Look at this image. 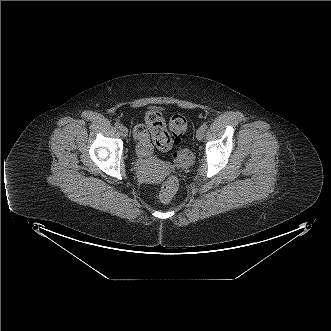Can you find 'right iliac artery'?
<instances>
[{
	"label": "right iliac artery",
	"mask_w": 331,
	"mask_h": 331,
	"mask_svg": "<svg viewBox=\"0 0 331 331\" xmlns=\"http://www.w3.org/2000/svg\"><path fill=\"white\" fill-rule=\"evenodd\" d=\"M115 126H116L117 128H120L121 124H120L119 122H116V123H115Z\"/></svg>",
	"instance_id": "obj_1"
}]
</instances>
